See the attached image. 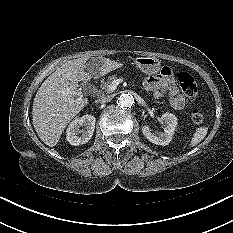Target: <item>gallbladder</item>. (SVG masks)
<instances>
[{"label": "gallbladder", "mask_w": 233, "mask_h": 233, "mask_svg": "<svg viewBox=\"0 0 233 233\" xmlns=\"http://www.w3.org/2000/svg\"><path fill=\"white\" fill-rule=\"evenodd\" d=\"M97 60H100V57H96V58L93 57L87 62L86 67H87L88 72L91 73L92 67L96 63Z\"/></svg>", "instance_id": "obj_1"}]
</instances>
